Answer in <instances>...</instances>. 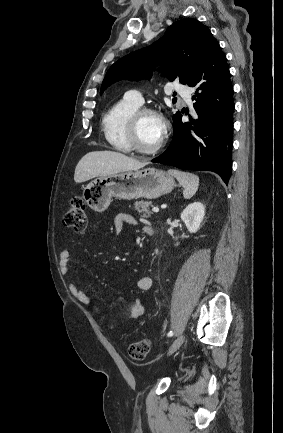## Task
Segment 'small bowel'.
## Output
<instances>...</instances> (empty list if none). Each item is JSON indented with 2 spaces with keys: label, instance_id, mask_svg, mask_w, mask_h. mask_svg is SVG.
Listing matches in <instances>:
<instances>
[{
  "label": "small bowel",
  "instance_id": "obj_1",
  "mask_svg": "<svg viewBox=\"0 0 283 433\" xmlns=\"http://www.w3.org/2000/svg\"><path fill=\"white\" fill-rule=\"evenodd\" d=\"M135 223L136 221L132 216L125 213H119L116 215L114 219L115 231L117 234H119L122 231L124 224L134 225ZM147 229L148 227L145 228L146 232ZM70 262H71L70 251L68 249H63L59 254V266L62 274H68ZM152 284H153L152 278L149 276H144L141 277L136 282L135 288L138 291H147L152 287ZM69 288L72 296L78 302L85 305L90 303V299L87 296V294L80 287H78L74 282H71L69 284ZM144 313H145V306L143 302L138 298L134 299L131 303L130 317L132 319H136L138 317H141ZM112 329H114V327H112Z\"/></svg>",
  "mask_w": 283,
  "mask_h": 433
}]
</instances>
